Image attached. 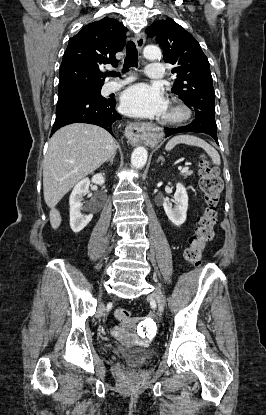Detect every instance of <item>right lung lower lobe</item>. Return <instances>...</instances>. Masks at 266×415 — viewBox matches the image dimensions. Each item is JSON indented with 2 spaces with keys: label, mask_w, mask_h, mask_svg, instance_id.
Here are the masks:
<instances>
[{
  "label": "right lung lower lobe",
  "mask_w": 266,
  "mask_h": 415,
  "mask_svg": "<svg viewBox=\"0 0 266 415\" xmlns=\"http://www.w3.org/2000/svg\"><path fill=\"white\" fill-rule=\"evenodd\" d=\"M114 98H66L58 99L56 119L51 135L71 123L95 124L113 135V127L121 116L115 110Z\"/></svg>",
  "instance_id": "right-lung-lower-lobe-1"
}]
</instances>
